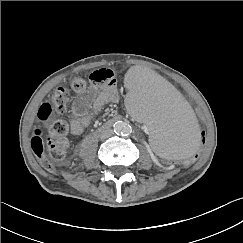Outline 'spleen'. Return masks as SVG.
<instances>
[{
    "label": "spleen",
    "instance_id": "obj_1",
    "mask_svg": "<svg viewBox=\"0 0 243 243\" xmlns=\"http://www.w3.org/2000/svg\"><path fill=\"white\" fill-rule=\"evenodd\" d=\"M124 108L143 123L152 149L162 158L189 156L199 142V129L189 100L165 76L141 70L128 80Z\"/></svg>",
    "mask_w": 243,
    "mask_h": 243
}]
</instances>
